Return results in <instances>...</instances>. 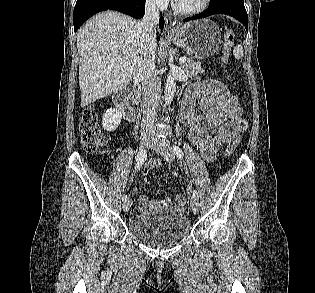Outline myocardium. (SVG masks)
Returning a JSON list of instances; mask_svg holds the SVG:
<instances>
[{
	"mask_svg": "<svg viewBox=\"0 0 315 293\" xmlns=\"http://www.w3.org/2000/svg\"><path fill=\"white\" fill-rule=\"evenodd\" d=\"M210 2L211 0H203L202 4L195 9H183L176 3L175 0H172V8L180 15L192 16L204 12L209 7Z\"/></svg>",
	"mask_w": 315,
	"mask_h": 293,
	"instance_id": "myocardium-1",
	"label": "myocardium"
}]
</instances>
